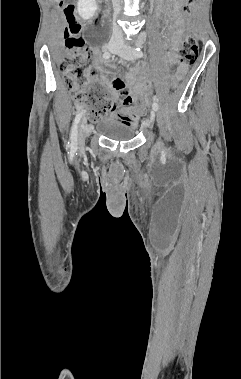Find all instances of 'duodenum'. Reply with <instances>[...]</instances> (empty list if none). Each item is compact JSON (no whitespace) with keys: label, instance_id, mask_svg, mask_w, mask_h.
<instances>
[{"label":"duodenum","instance_id":"duodenum-1","mask_svg":"<svg viewBox=\"0 0 241 379\" xmlns=\"http://www.w3.org/2000/svg\"><path fill=\"white\" fill-rule=\"evenodd\" d=\"M105 3L108 1V0H103Z\"/></svg>","mask_w":241,"mask_h":379}]
</instances>
